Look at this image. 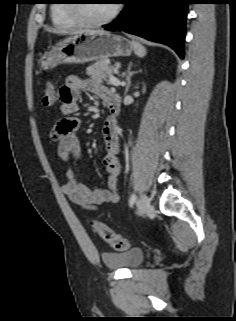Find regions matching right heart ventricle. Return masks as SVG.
Masks as SVG:
<instances>
[{
  "instance_id": "e07e8e85",
  "label": "right heart ventricle",
  "mask_w": 236,
  "mask_h": 321,
  "mask_svg": "<svg viewBox=\"0 0 236 321\" xmlns=\"http://www.w3.org/2000/svg\"><path fill=\"white\" fill-rule=\"evenodd\" d=\"M51 7V18L55 26L59 28H71L79 25V22L72 17L69 11L70 0H58Z\"/></svg>"
}]
</instances>
